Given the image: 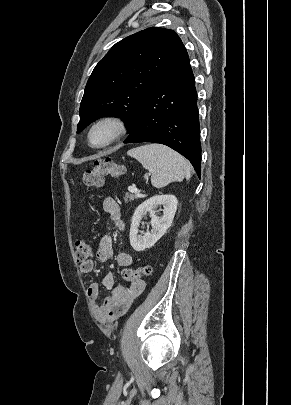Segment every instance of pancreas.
I'll list each match as a JSON object with an SVG mask.
<instances>
[{
  "instance_id": "cf45deb5",
  "label": "pancreas",
  "mask_w": 291,
  "mask_h": 405,
  "mask_svg": "<svg viewBox=\"0 0 291 405\" xmlns=\"http://www.w3.org/2000/svg\"><path fill=\"white\" fill-rule=\"evenodd\" d=\"M138 197L136 194H132V193H126L124 196V200L125 201H134L136 200Z\"/></svg>"
}]
</instances>
